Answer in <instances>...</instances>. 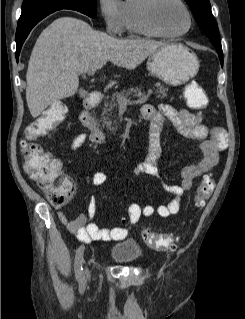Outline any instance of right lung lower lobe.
Masks as SVG:
<instances>
[{"label": "right lung lower lobe", "instance_id": "1", "mask_svg": "<svg viewBox=\"0 0 245 319\" xmlns=\"http://www.w3.org/2000/svg\"><path fill=\"white\" fill-rule=\"evenodd\" d=\"M47 16V15H46ZM46 16H42L36 19H33L29 22H27L26 24L23 25H18L17 26V30H16V44H17V49H16V58L18 60L19 54H20V50L21 47L25 41V39L27 38L28 34L30 33L31 29L40 21L42 20L44 17Z\"/></svg>", "mask_w": 245, "mask_h": 319}]
</instances>
